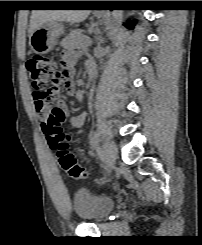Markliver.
Wrapping results in <instances>:
<instances>
[{
    "label": "liver",
    "mask_w": 202,
    "mask_h": 245,
    "mask_svg": "<svg viewBox=\"0 0 202 245\" xmlns=\"http://www.w3.org/2000/svg\"><path fill=\"white\" fill-rule=\"evenodd\" d=\"M90 14V10H33L30 17L29 37L42 24L48 21L83 22Z\"/></svg>",
    "instance_id": "obj_1"
}]
</instances>
